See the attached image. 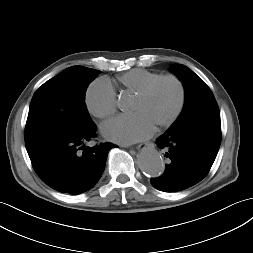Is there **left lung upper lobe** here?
<instances>
[{
    "instance_id": "1",
    "label": "left lung upper lobe",
    "mask_w": 253,
    "mask_h": 253,
    "mask_svg": "<svg viewBox=\"0 0 253 253\" xmlns=\"http://www.w3.org/2000/svg\"><path fill=\"white\" fill-rule=\"evenodd\" d=\"M171 70L185 88L184 109L171 127L208 120L220 123V113L210 88L193 71L182 64L172 65Z\"/></svg>"
}]
</instances>
